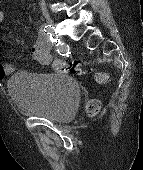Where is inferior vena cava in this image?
<instances>
[{
  "instance_id": "obj_1",
  "label": "inferior vena cava",
  "mask_w": 143,
  "mask_h": 170,
  "mask_svg": "<svg viewBox=\"0 0 143 170\" xmlns=\"http://www.w3.org/2000/svg\"><path fill=\"white\" fill-rule=\"evenodd\" d=\"M40 6L42 10L46 8L45 0H40Z\"/></svg>"
}]
</instances>
